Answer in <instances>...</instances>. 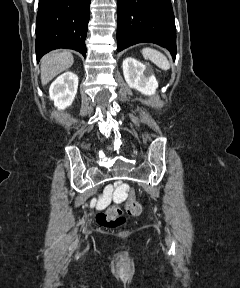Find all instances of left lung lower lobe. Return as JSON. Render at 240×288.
Masks as SVG:
<instances>
[{
  "label": "left lung lower lobe",
  "mask_w": 240,
  "mask_h": 288,
  "mask_svg": "<svg viewBox=\"0 0 240 288\" xmlns=\"http://www.w3.org/2000/svg\"><path fill=\"white\" fill-rule=\"evenodd\" d=\"M117 51L142 42L168 49L175 59L176 27L170 0H117Z\"/></svg>",
  "instance_id": "0a47b994"
}]
</instances>
